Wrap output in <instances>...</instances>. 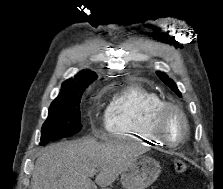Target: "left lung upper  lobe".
Returning a JSON list of instances; mask_svg holds the SVG:
<instances>
[{"label":"left lung upper lobe","instance_id":"1","mask_svg":"<svg viewBox=\"0 0 223 189\" xmlns=\"http://www.w3.org/2000/svg\"><path fill=\"white\" fill-rule=\"evenodd\" d=\"M157 75L159 76V78L168 86L170 87L171 90H173L178 96H181V93L179 92V90L177 89L176 84L170 79L168 78L164 73L162 72H157Z\"/></svg>","mask_w":223,"mask_h":189}]
</instances>
